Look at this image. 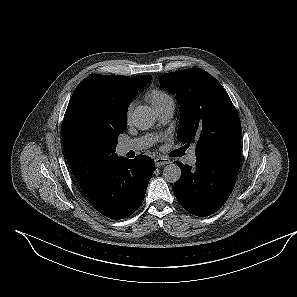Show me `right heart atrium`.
Here are the masks:
<instances>
[{
	"mask_svg": "<svg viewBox=\"0 0 297 297\" xmlns=\"http://www.w3.org/2000/svg\"><path fill=\"white\" fill-rule=\"evenodd\" d=\"M131 111H132V104L129 105L128 110H127V117L129 118L131 115Z\"/></svg>",
	"mask_w": 297,
	"mask_h": 297,
	"instance_id": "1",
	"label": "right heart atrium"
}]
</instances>
